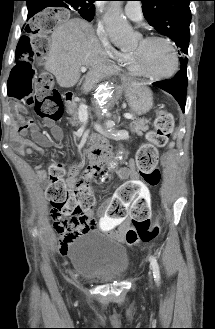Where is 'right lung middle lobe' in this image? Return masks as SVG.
I'll list each match as a JSON object with an SVG mask.
<instances>
[{
    "label": "right lung middle lobe",
    "mask_w": 215,
    "mask_h": 329,
    "mask_svg": "<svg viewBox=\"0 0 215 329\" xmlns=\"http://www.w3.org/2000/svg\"><path fill=\"white\" fill-rule=\"evenodd\" d=\"M64 8L75 11L80 14L84 19L91 21L95 13V7L85 4L82 1L68 0Z\"/></svg>",
    "instance_id": "right-lung-middle-lobe-1"
}]
</instances>
